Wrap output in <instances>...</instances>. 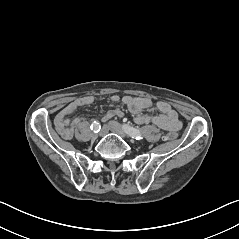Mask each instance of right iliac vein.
<instances>
[{"label": "right iliac vein", "mask_w": 239, "mask_h": 239, "mask_svg": "<svg viewBox=\"0 0 239 239\" xmlns=\"http://www.w3.org/2000/svg\"><path fill=\"white\" fill-rule=\"evenodd\" d=\"M108 133V127L107 126H103L100 133H99V136L100 137H103L105 136L106 134Z\"/></svg>", "instance_id": "obj_1"}]
</instances>
